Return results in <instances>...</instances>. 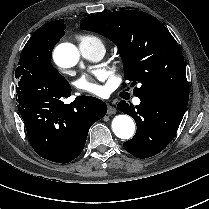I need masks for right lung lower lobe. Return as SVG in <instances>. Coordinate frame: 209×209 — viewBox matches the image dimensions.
<instances>
[{
    "mask_svg": "<svg viewBox=\"0 0 209 209\" xmlns=\"http://www.w3.org/2000/svg\"><path fill=\"white\" fill-rule=\"evenodd\" d=\"M18 110L36 153L52 162L68 163L82 152L93 123L107 113L106 104L95 97L78 96L72 103L70 85L35 77L20 79L16 86Z\"/></svg>",
    "mask_w": 209,
    "mask_h": 209,
    "instance_id": "1",
    "label": "right lung lower lobe"
}]
</instances>
